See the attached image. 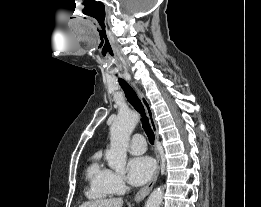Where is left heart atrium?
Wrapping results in <instances>:
<instances>
[{"mask_svg": "<svg viewBox=\"0 0 261 207\" xmlns=\"http://www.w3.org/2000/svg\"><path fill=\"white\" fill-rule=\"evenodd\" d=\"M128 180L132 185L146 183L154 173L155 163L148 156L133 157L128 161Z\"/></svg>", "mask_w": 261, "mask_h": 207, "instance_id": "obj_1", "label": "left heart atrium"}]
</instances>
